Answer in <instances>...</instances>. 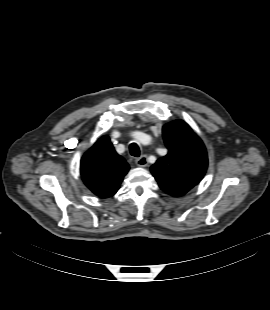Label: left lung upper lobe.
Listing matches in <instances>:
<instances>
[{"label":"left lung upper lobe","instance_id":"1","mask_svg":"<svg viewBox=\"0 0 270 310\" xmlns=\"http://www.w3.org/2000/svg\"><path fill=\"white\" fill-rule=\"evenodd\" d=\"M163 138L168 154L151 166L152 174L165 192H188L200 182L206 172V148L182 120L164 125Z\"/></svg>","mask_w":270,"mask_h":310}]
</instances>
